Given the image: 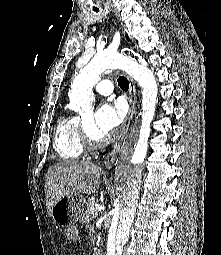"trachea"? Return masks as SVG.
<instances>
[{"label": "trachea", "instance_id": "trachea-1", "mask_svg": "<svg viewBox=\"0 0 221 255\" xmlns=\"http://www.w3.org/2000/svg\"><path fill=\"white\" fill-rule=\"evenodd\" d=\"M94 11L98 12L99 10L94 9ZM117 81H118V85L120 86L122 90L127 91L129 89V82L127 78H125L124 76H120Z\"/></svg>", "mask_w": 221, "mask_h": 255}]
</instances>
